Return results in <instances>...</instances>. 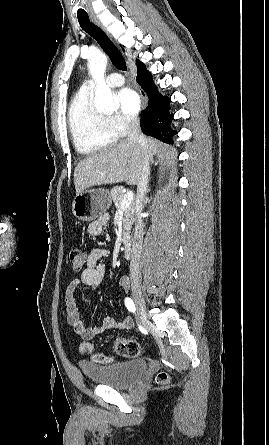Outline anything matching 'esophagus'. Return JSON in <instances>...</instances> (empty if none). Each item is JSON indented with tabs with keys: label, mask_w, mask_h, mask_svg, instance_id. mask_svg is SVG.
I'll list each match as a JSON object with an SVG mask.
<instances>
[{
	"label": "esophagus",
	"mask_w": 269,
	"mask_h": 445,
	"mask_svg": "<svg viewBox=\"0 0 269 445\" xmlns=\"http://www.w3.org/2000/svg\"><path fill=\"white\" fill-rule=\"evenodd\" d=\"M91 19L97 26H99L101 29H103L107 33L105 27L102 25L101 21L99 20V18L96 15H91ZM138 92H139V95H140L141 100H142V107L146 108V106H147V96H146V93L141 88H138Z\"/></svg>",
	"instance_id": "esophagus-1"
}]
</instances>
